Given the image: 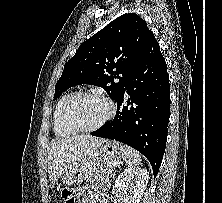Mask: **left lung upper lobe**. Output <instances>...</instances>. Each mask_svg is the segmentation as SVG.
<instances>
[{
    "label": "left lung upper lobe",
    "instance_id": "obj_1",
    "mask_svg": "<svg viewBox=\"0 0 222 203\" xmlns=\"http://www.w3.org/2000/svg\"><path fill=\"white\" fill-rule=\"evenodd\" d=\"M150 33L147 23L135 13L121 15L110 22L83 42L74 57L66 62L55 85L54 100L63 91L80 84L102 87L116 100L140 60Z\"/></svg>",
    "mask_w": 222,
    "mask_h": 203
}]
</instances>
